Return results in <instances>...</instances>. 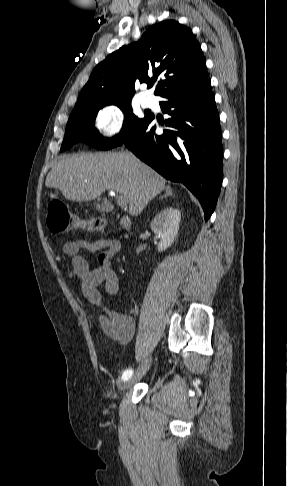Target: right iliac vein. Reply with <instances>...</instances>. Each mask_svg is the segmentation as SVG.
Returning <instances> with one entry per match:
<instances>
[{
  "mask_svg": "<svg viewBox=\"0 0 287 486\" xmlns=\"http://www.w3.org/2000/svg\"><path fill=\"white\" fill-rule=\"evenodd\" d=\"M150 363H151V357H146L142 361L141 365L139 366V368L137 369V371L135 372V374L123 383L122 389L123 390H127L134 383H136L137 381H139L145 375V373L147 372V370L149 369Z\"/></svg>",
  "mask_w": 287,
  "mask_h": 486,
  "instance_id": "63e3f726",
  "label": "right iliac vein"
}]
</instances>
